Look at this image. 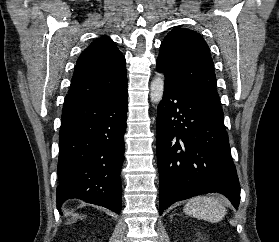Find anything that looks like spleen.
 <instances>
[{
    "instance_id": "obj_1",
    "label": "spleen",
    "mask_w": 279,
    "mask_h": 242,
    "mask_svg": "<svg viewBox=\"0 0 279 242\" xmlns=\"http://www.w3.org/2000/svg\"><path fill=\"white\" fill-rule=\"evenodd\" d=\"M184 212L212 223L219 222L226 215V209L219 199L210 196H196L184 206Z\"/></svg>"
}]
</instances>
